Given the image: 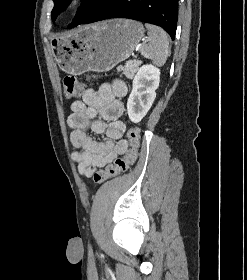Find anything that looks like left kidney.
Here are the masks:
<instances>
[{"label": "left kidney", "instance_id": "5707ae66", "mask_svg": "<svg viewBox=\"0 0 247 280\" xmlns=\"http://www.w3.org/2000/svg\"><path fill=\"white\" fill-rule=\"evenodd\" d=\"M160 82V69L143 65L133 79V87L127 101V112L133 123H139L151 108Z\"/></svg>", "mask_w": 247, "mask_h": 280}]
</instances>
